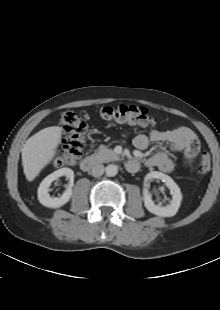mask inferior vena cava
Listing matches in <instances>:
<instances>
[{
    "instance_id": "602c4592",
    "label": "inferior vena cava",
    "mask_w": 220,
    "mask_h": 310,
    "mask_svg": "<svg viewBox=\"0 0 220 310\" xmlns=\"http://www.w3.org/2000/svg\"><path fill=\"white\" fill-rule=\"evenodd\" d=\"M105 168L102 164H96L91 169V175L94 177H100L103 175Z\"/></svg>"
}]
</instances>
